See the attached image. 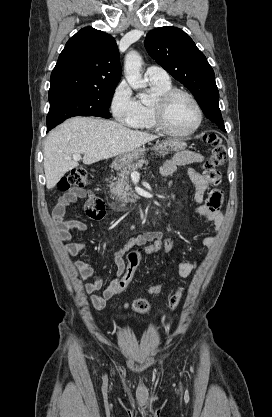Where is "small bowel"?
I'll list each match as a JSON object with an SVG mask.
<instances>
[{"label":"small bowel","mask_w":272,"mask_h":417,"mask_svg":"<svg viewBox=\"0 0 272 417\" xmlns=\"http://www.w3.org/2000/svg\"><path fill=\"white\" fill-rule=\"evenodd\" d=\"M207 159V156L184 150L176 153L171 159H168L160 168L163 177L173 175L178 167L187 166L192 163H200ZM187 175L195 187L194 198L199 205L195 211L198 215L211 223V226L218 230L223 221L222 203L223 198L221 192L217 189L221 176L217 170H207L204 174L197 173L193 169L187 170ZM80 199H85V214L92 220H101L105 215L104 203L102 199L90 190L84 188L72 187L64 193L57 201L53 209V220L57 228L58 237L65 241L63 251L69 256H76L83 253L86 244L73 241L74 231H86L87 225L79 220H67L65 214L68 207L76 203ZM163 236L160 231H147L137 237L128 240L121 248H119L111 258L112 263L116 267L115 276L110 283L103 288V278L100 276L94 266L85 261H76L74 267L81 281L92 279L83 285L85 293L90 297L92 306L101 310L105 307L106 302L115 296V287L124 274L125 261L124 254L133 247L144 241L155 237ZM215 238L206 236L202 238L201 245L205 248L213 246ZM197 269L196 262L180 261L177 264V272L180 277L187 278ZM102 290L101 295H96L97 291Z\"/></svg>","instance_id":"small-bowel-1"}]
</instances>
